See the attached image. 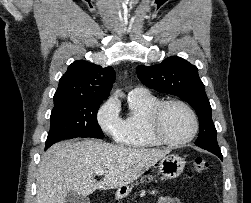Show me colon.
<instances>
[{"mask_svg":"<svg viewBox=\"0 0 251 203\" xmlns=\"http://www.w3.org/2000/svg\"><path fill=\"white\" fill-rule=\"evenodd\" d=\"M193 165H194V169L197 173H203L205 172L208 167H209V163L207 160H205L204 158L202 157H197L195 158L194 162H193Z\"/></svg>","mask_w":251,"mask_h":203,"instance_id":"obj_1","label":"colon"}]
</instances>
